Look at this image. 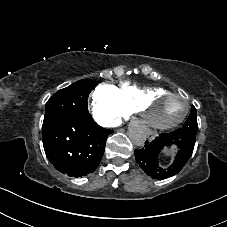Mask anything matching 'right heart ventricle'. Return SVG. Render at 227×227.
Masks as SVG:
<instances>
[{"label":"right heart ventricle","instance_id":"right-heart-ventricle-1","mask_svg":"<svg viewBox=\"0 0 227 227\" xmlns=\"http://www.w3.org/2000/svg\"><path fill=\"white\" fill-rule=\"evenodd\" d=\"M120 98L129 113L138 111L142 102L149 96L168 91L161 86H139L122 82L118 87Z\"/></svg>","mask_w":227,"mask_h":227}]
</instances>
